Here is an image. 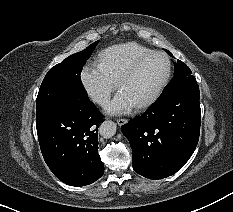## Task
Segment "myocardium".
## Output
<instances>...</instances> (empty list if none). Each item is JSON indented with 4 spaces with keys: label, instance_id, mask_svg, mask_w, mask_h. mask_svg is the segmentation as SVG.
<instances>
[{
    "label": "myocardium",
    "instance_id": "f54148a6",
    "mask_svg": "<svg viewBox=\"0 0 233 212\" xmlns=\"http://www.w3.org/2000/svg\"><path fill=\"white\" fill-rule=\"evenodd\" d=\"M154 55L162 56L166 60V64H167L166 74H165L164 78L162 79V81L160 82V84L154 90V92L146 100H144L141 103L134 106L136 109H144V108H147L150 105H152L158 99V97L160 96V94L164 90L165 86L168 84L169 79L171 77V73H172V63H171L170 57L162 51H150V52L140 56L139 58H137L127 68V70L121 75V77L119 78V80L117 82V87H118V89H120L121 86L126 81H128L130 78H132L134 76V74L137 72L139 67L143 64V62Z\"/></svg>",
    "mask_w": 233,
    "mask_h": 212
}]
</instances>
